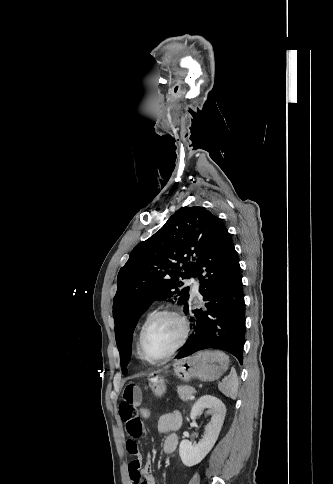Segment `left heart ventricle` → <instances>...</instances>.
Returning a JSON list of instances; mask_svg holds the SVG:
<instances>
[{
	"label": "left heart ventricle",
	"instance_id": "left-heart-ventricle-1",
	"mask_svg": "<svg viewBox=\"0 0 333 484\" xmlns=\"http://www.w3.org/2000/svg\"><path fill=\"white\" fill-rule=\"evenodd\" d=\"M182 328L177 319L163 316L148 328L144 339V351L150 358L166 354L179 340Z\"/></svg>",
	"mask_w": 333,
	"mask_h": 484
}]
</instances>
